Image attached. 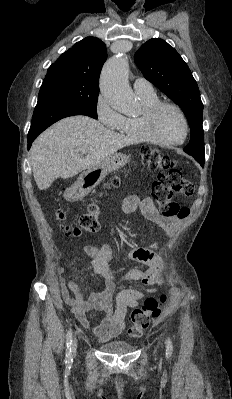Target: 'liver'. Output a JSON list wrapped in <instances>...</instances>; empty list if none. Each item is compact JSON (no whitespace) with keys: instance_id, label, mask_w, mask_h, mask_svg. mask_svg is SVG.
<instances>
[{"instance_id":"1","label":"liver","mask_w":232,"mask_h":399,"mask_svg":"<svg viewBox=\"0 0 232 399\" xmlns=\"http://www.w3.org/2000/svg\"><path fill=\"white\" fill-rule=\"evenodd\" d=\"M136 144L133 138L107 130L87 116L60 120L33 142L30 164L39 190H47L57 178H73L83 170L98 168L101 162L125 146ZM83 148L89 152L83 158Z\"/></svg>"}]
</instances>
